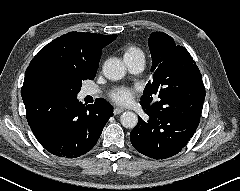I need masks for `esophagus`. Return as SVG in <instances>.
I'll return each mask as SVG.
<instances>
[{
	"mask_svg": "<svg viewBox=\"0 0 240 191\" xmlns=\"http://www.w3.org/2000/svg\"><path fill=\"white\" fill-rule=\"evenodd\" d=\"M123 111H124L123 108L117 107L114 109L113 113H114V115H118V114L122 113Z\"/></svg>",
	"mask_w": 240,
	"mask_h": 191,
	"instance_id": "obj_1",
	"label": "esophagus"
}]
</instances>
